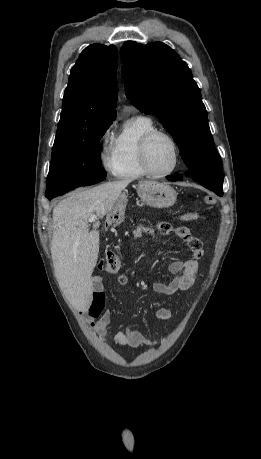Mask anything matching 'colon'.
Masks as SVG:
<instances>
[{"instance_id":"colon-1","label":"colon","mask_w":261,"mask_h":459,"mask_svg":"<svg viewBox=\"0 0 261 459\" xmlns=\"http://www.w3.org/2000/svg\"><path fill=\"white\" fill-rule=\"evenodd\" d=\"M216 202V199L212 195H206L204 197V204L207 207H210L214 205ZM200 212L196 210L188 211L182 215V217L186 220H192L196 219L199 216ZM158 230L166 234L170 231V226L165 223V222H159L157 225ZM122 266V262L120 257L115 254V253H108L98 264V269L109 273V274H114L117 273ZM104 304H105V296L103 294H94L93 295V300L88 308V314L91 317L97 318L102 314V311L104 309Z\"/></svg>"}]
</instances>
